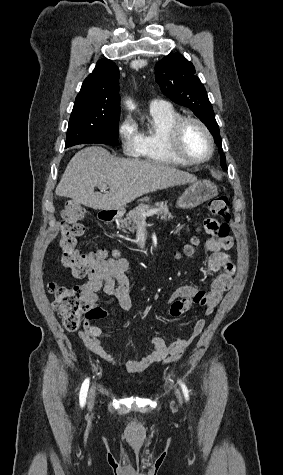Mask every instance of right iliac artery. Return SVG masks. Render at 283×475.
Here are the masks:
<instances>
[{
	"mask_svg": "<svg viewBox=\"0 0 283 475\" xmlns=\"http://www.w3.org/2000/svg\"><path fill=\"white\" fill-rule=\"evenodd\" d=\"M88 388H89V379H86V380L83 382L82 387H81V390H80L79 399H80V405H81V407H83V406L85 405Z\"/></svg>",
	"mask_w": 283,
	"mask_h": 475,
	"instance_id": "obj_1",
	"label": "right iliac artery"
}]
</instances>
